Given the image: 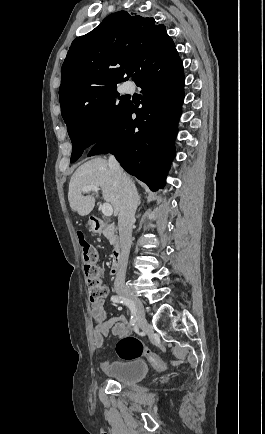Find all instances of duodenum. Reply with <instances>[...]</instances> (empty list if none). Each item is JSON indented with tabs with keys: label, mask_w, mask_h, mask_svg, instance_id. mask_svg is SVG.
<instances>
[{
	"label": "duodenum",
	"mask_w": 265,
	"mask_h": 434,
	"mask_svg": "<svg viewBox=\"0 0 265 434\" xmlns=\"http://www.w3.org/2000/svg\"><path fill=\"white\" fill-rule=\"evenodd\" d=\"M90 230H94L95 232L105 234L106 236L112 238L115 234L116 227L112 224H105L101 221H97L95 218L89 220ZM121 259H122V250L115 246L113 252V259L111 262L110 272L113 274H117L119 269L121 268Z\"/></svg>",
	"instance_id": "1"
}]
</instances>
